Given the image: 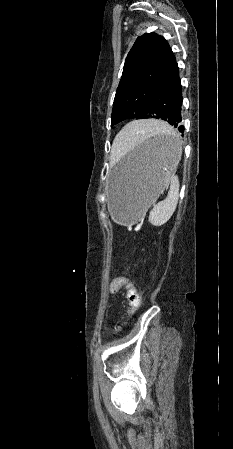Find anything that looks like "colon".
Segmentation results:
<instances>
[{"label":"colon","instance_id":"5ec220e1","mask_svg":"<svg viewBox=\"0 0 233 449\" xmlns=\"http://www.w3.org/2000/svg\"><path fill=\"white\" fill-rule=\"evenodd\" d=\"M107 288L112 296L118 295L121 288L126 290L129 315L134 314L139 309L141 301L139 292L128 277H113Z\"/></svg>","mask_w":233,"mask_h":449}]
</instances>
